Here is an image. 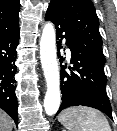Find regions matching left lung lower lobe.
Returning <instances> with one entry per match:
<instances>
[{"label": "left lung lower lobe", "instance_id": "left-lung-lower-lobe-1", "mask_svg": "<svg viewBox=\"0 0 117 131\" xmlns=\"http://www.w3.org/2000/svg\"><path fill=\"white\" fill-rule=\"evenodd\" d=\"M45 19L55 24L60 62L65 60L60 56L62 41L66 42L72 55L71 66L61 65L62 102L57 114L65 108L83 105L96 108L112 119L111 104L106 93L104 65L75 42L71 30L60 16L47 11Z\"/></svg>", "mask_w": 117, "mask_h": 131}]
</instances>
